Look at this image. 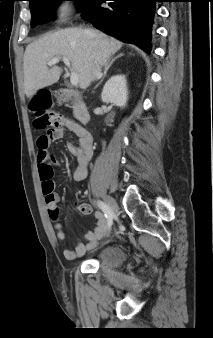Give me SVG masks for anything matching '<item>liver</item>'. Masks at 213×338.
I'll return each mask as SVG.
<instances>
[{"instance_id":"1","label":"liver","mask_w":213,"mask_h":338,"mask_svg":"<svg viewBox=\"0 0 213 338\" xmlns=\"http://www.w3.org/2000/svg\"><path fill=\"white\" fill-rule=\"evenodd\" d=\"M122 47V42L93 29L68 28L47 33L26 47L24 54V92L28 98L38 90L56 83L62 69L47 63L57 57L70 60L79 77V86L86 89L94 79L97 57L103 64Z\"/></svg>"}]
</instances>
